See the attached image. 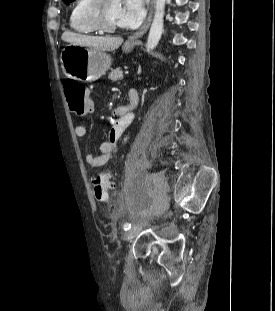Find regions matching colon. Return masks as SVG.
I'll use <instances>...</instances> for the list:
<instances>
[{
    "instance_id": "5ec220e1",
    "label": "colon",
    "mask_w": 275,
    "mask_h": 311,
    "mask_svg": "<svg viewBox=\"0 0 275 311\" xmlns=\"http://www.w3.org/2000/svg\"><path fill=\"white\" fill-rule=\"evenodd\" d=\"M64 89L70 110L80 114L81 117H88L89 113H92L93 108L89 98L91 94H89L86 86L74 80H67L64 83ZM111 188L112 185L107 174L98 173L94 176L92 189L98 201H106Z\"/></svg>"
}]
</instances>
